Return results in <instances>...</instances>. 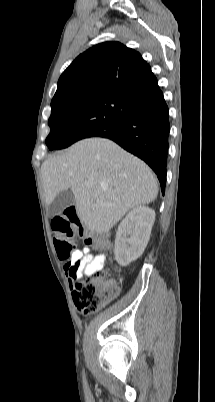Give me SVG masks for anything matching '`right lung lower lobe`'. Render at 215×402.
Segmentation results:
<instances>
[{
	"label": "right lung lower lobe",
	"instance_id": "obj_1",
	"mask_svg": "<svg viewBox=\"0 0 215 402\" xmlns=\"http://www.w3.org/2000/svg\"><path fill=\"white\" fill-rule=\"evenodd\" d=\"M169 132L168 106L160 92L138 101L121 123L97 136L113 140L144 160L156 173L164 195Z\"/></svg>",
	"mask_w": 215,
	"mask_h": 402
}]
</instances>
